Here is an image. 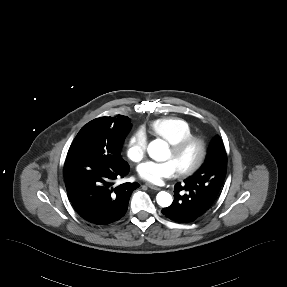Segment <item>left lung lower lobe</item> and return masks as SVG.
Wrapping results in <instances>:
<instances>
[{
    "label": "left lung lower lobe",
    "mask_w": 287,
    "mask_h": 287,
    "mask_svg": "<svg viewBox=\"0 0 287 287\" xmlns=\"http://www.w3.org/2000/svg\"><path fill=\"white\" fill-rule=\"evenodd\" d=\"M185 192V194H183ZM174 201L162 209V213L171 220L180 223L192 222L202 216L214 203L216 198L207 197L191 186L177 183Z\"/></svg>",
    "instance_id": "left-lung-lower-lobe-1"
}]
</instances>
